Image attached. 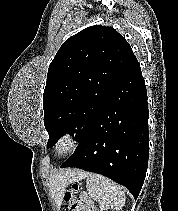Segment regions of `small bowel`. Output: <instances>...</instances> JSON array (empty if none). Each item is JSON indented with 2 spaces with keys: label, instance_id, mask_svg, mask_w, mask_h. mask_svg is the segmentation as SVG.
<instances>
[{
  "label": "small bowel",
  "instance_id": "1",
  "mask_svg": "<svg viewBox=\"0 0 178 211\" xmlns=\"http://www.w3.org/2000/svg\"><path fill=\"white\" fill-rule=\"evenodd\" d=\"M80 211H96L94 206L90 204L88 201H83L81 203Z\"/></svg>",
  "mask_w": 178,
  "mask_h": 211
}]
</instances>
